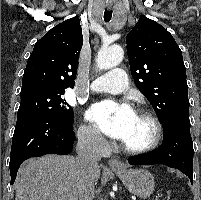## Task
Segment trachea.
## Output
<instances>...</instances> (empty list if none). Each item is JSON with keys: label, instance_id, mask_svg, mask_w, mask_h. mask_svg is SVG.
<instances>
[{"label": "trachea", "instance_id": "obj_1", "mask_svg": "<svg viewBox=\"0 0 201 200\" xmlns=\"http://www.w3.org/2000/svg\"><path fill=\"white\" fill-rule=\"evenodd\" d=\"M112 10H109V9H105L104 11V21L105 22H109L112 18Z\"/></svg>", "mask_w": 201, "mask_h": 200}]
</instances>
